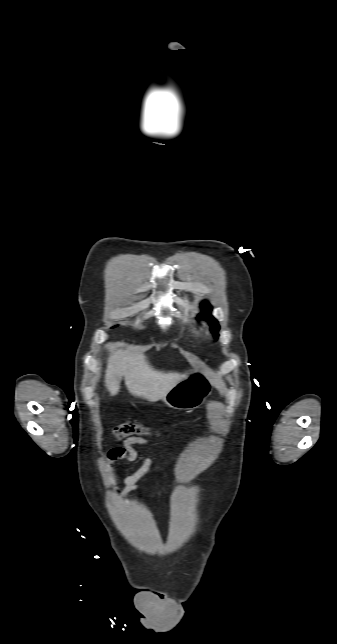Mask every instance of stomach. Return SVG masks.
<instances>
[{
	"label": "stomach",
	"mask_w": 337,
	"mask_h": 644,
	"mask_svg": "<svg viewBox=\"0 0 337 644\" xmlns=\"http://www.w3.org/2000/svg\"><path fill=\"white\" fill-rule=\"evenodd\" d=\"M212 387L210 373L206 369L194 368L162 400L171 408L192 410L203 404Z\"/></svg>",
	"instance_id": "1"
}]
</instances>
